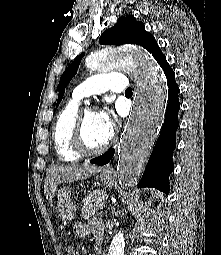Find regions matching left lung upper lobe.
<instances>
[{"label": "left lung upper lobe", "instance_id": "left-lung-upper-lobe-1", "mask_svg": "<svg viewBox=\"0 0 221 255\" xmlns=\"http://www.w3.org/2000/svg\"><path fill=\"white\" fill-rule=\"evenodd\" d=\"M100 43L104 45L137 44L146 48L152 55L160 49L152 34L145 31L144 24L136 21L134 16L120 17L112 28L107 29L101 35ZM84 55L85 53L79 55L62 74L58 85L59 96L57 106L63 98L66 86L77 73Z\"/></svg>", "mask_w": 221, "mask_h": 255}]
</instances>
